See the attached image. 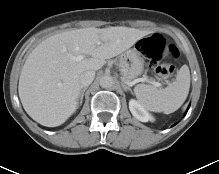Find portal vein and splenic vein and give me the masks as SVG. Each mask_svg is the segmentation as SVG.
Segmentation results:
<instances>
[{
    "instance_id": "1",
    "label": "portal vein and splenic vein",
    "mask_w": 219,
    "mask_h": 174,
    "mask_svg": "<svg viewBox=\"0 0 219 174\" xmlns=\"http://www.w3.org/2000/svg\"><path fill=\"white\" fill-rule=\"evenodd\" d=\"M84 58H85V55H80V56L77 57V60H82ZM144 80H145V78H141V81H144ZM152 84H154L155 86H160L161 85L158 82H152Z\"/></svg>"
}]
</instances>
